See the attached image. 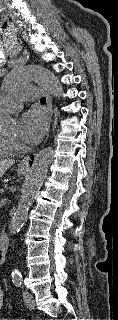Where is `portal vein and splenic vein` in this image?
Instances as JSON below:
<instances>
[{"mask_svg":"<svg viewBox=\"0 0 118 320\" xmlns=\"http://www.w3.org/2000/svg\"><path fill=\"white\" fill-rule=\"evenodd\" d=\"M3 192H4L3 189H1V190H0V193H3Z\"/></svg>","mask_w":118,"mask_h":320,"instance_id":"portal-vein-and-splenic-vein-1","label":"portal vein and splenic vein"}]
</instances>
